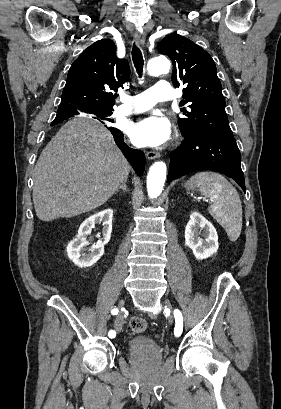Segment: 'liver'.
Masks as SVG:
<instances>
[{"instance_id":"1","label":"liver","mask_w":281,"mask_h":409,"mask_svg":"<svg viewBox=\"0 0 281 409\" xmlns=\"http://www.w3.org/2000/svg\"><path fill=\"white\" fill-rule=\"evenodd\" d=\"M130 170L102 122L88 116L68 120L35 164L32 196L38 219L75 217L101 207Z\"/></svg>"}]
</instances>
